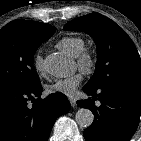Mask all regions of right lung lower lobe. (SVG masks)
<instances>
[{"mask_svg": "<svg viewBox=\"0 0 141 141\" xmlns=\"http://www.w3.org/2000/svg\"><path fill=\"white\" fill-rule=\"evenodd\" d=\"M42 90L41 84L0 87V141H47L55 120L70 110V103L62 93L42 100Z\"/></svg>", "mask_w": 141, "mask_h": 141, "instance_id": "obj_1", "label": "right lung lower lobe"}]
</instances>
